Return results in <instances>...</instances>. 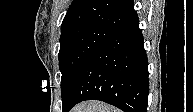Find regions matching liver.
<instances>
[{
  "instance_id": "1",
  "label": "liver",
  "mask_w": 193,
  "mask_h": 112,
  "mask_svg": "<svg viewBox=\"0 0 193 112\" xmlns=\"http://www.w3.org/2000/svg\"><path fill=\"white\" fill-rule=\"evenodd\" d=\"M71 112H120V110L103 102L85 101L75 106Z\"/></svg>"
}]
</instances>
